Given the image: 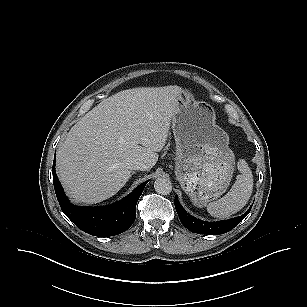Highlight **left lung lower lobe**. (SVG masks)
<instances>
[{
    "label": "left lung lower lobe",
    "instance_id": "left-lung-lower-lobe-1",
    "mask_svg": "<svg viewBox=\"0 0 307 307\" xmlns=\"http://www.w3.org/2000/svg\"><path fill=\"white\" fill-rule=\"evenodd\" d=\"M175 208L181 223L191 232L198 234L219 235L232 230L245 216L250 212L251 207L243 215L223 221L206 222L189 215L179 203L178 197H175Z\"/></svg>",
    "mask_w": 307,
    "mask_h": 307
}]
</instances>
